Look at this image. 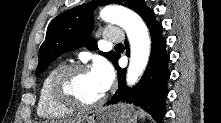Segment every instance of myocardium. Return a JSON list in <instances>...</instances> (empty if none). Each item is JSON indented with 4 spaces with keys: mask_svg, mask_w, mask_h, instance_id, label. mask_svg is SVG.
Wrapping results in <instances>:
<instances>
[{
    "mask_svg": "<svg viewBox=\"0 0 221 123\" xmlns=\"http://www.w3.org/2000/svg\"><path fill=\"white\" fill-rule=\"evenodd\" d=\"M89 71L83 64L72 63L62 66L51 81V95L60 106L71 111H91L99 108L106 100V93L93 103H83L73 97L68 90V82L72 75L78 72Z\"/></svg>",
    "mask_w": 221,
    "mask_h": 123,
    "instance_id": "myocardium-1",
    "label": "myocardium"
}]
</instances>
